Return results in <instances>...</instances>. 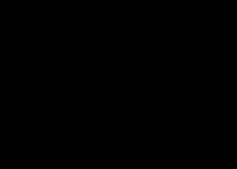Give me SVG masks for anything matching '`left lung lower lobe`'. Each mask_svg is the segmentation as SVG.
I'll return each instance as SVG.
<instances>
[{"label": "left lung lower lobe", "mask_w": 237, "mask_h": 169, "mask_svg": "<svg viewBox=\"0 0 237 169\" xmlns=\"http://www.w3.org/2000/svg\"><path fill=\"white\" fill-rule=\"evenodd\" d=\"M133 107L132 129L143 143L149 145H164L174 140L190 117L143 99H135Z\"/></svg>", "instance_id": "obj_1"}]
</instances>
